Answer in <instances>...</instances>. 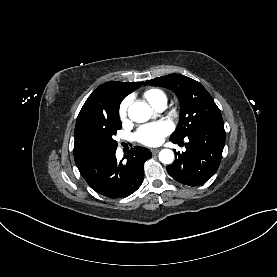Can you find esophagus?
Masks as SVG:
<instances>
[{
  "mask_svg": "<svg viewBox=\"0 0 277 277\" xmlns=\"http://www.w3.org/2000/svg\"><path fill=\"white\" fill-rule=\"evenodd\" d=\"M159 151L160 149H157V148L151 149L152 154H157Z\"/></svg>",
  "mask_w": 277,
  "mask_h": 277,
  "instance_id": "esophagus-1",
  "label": "esophagus"
}]
</instances>
